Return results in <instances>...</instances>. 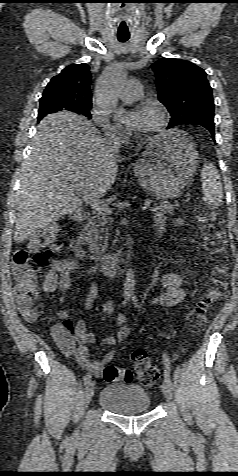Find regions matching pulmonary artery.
<instances>
[{"instance_id":"1","label":"pulmonary artery","mask_w":238,"mask_h":476,"mask_svg":"<svg viewBox=\"0 0 238 476\" xmlns=\"http://www.w3.org/2000/svg\"><path fill=\"white\" fill-rule=\"evenodd\" d=\"M143 95V87L140 81L132 79L125 83L120 98L122 101L131 103L140 99Z\"/></svg>"}]
</instances>
